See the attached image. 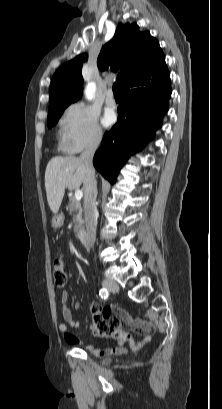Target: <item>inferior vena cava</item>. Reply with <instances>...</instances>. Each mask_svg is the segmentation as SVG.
Wrapping results in <instances>:
<instances>
[{
  "mask_svg": "<svg viewBox=\"0 0 222 409\" xmlns=\"http://www.w3.org/2000/svg\"><path fill=\"white\" fill-rule=\"evenodd\" d=\"M101 141V135L93 138L85 150L81 153L79 159L86 168V177L83 182L84 188V218L86 225L87 242L92 246L96 238V227L98 211L96 208L97 197V182L95 179V169L92 164V159L96 149Z\"/></svg>",
  "mask_w": 222,
  "mask_h": 409,
  "instance_id": "inferior-vena-cava-1",
  "label": "inferior vena cava"
}]
</instances>
